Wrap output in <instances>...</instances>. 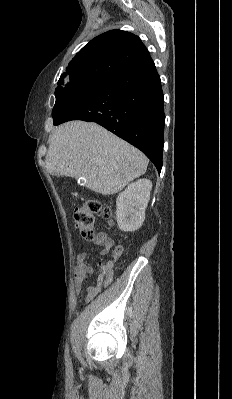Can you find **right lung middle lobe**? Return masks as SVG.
I'll return each instance as SVG.
<instances>
[{
  "label": "right lung middle lobe",
  "mask_w": 232,
  "mask_h": 399,
  "mask_svg": "<svg viewBox=\"0 0 232 399\" xmlns=\"http://www.w3.org/2000/svg\"><path fill=\"white\" fill-rule=\"evenodd\" d=\"M105 80L106 79L103 78L85 77L67 83L59 93L55 94L56 102L52 110L54 122L67 102L76 101L82 98L97 88Z\"/></svg>",
  "instance_id": "1"
}]
</instances>
